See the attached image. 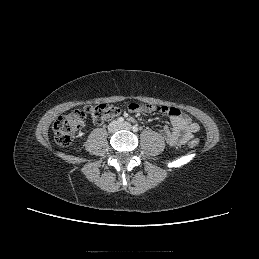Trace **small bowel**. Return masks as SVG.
Returning <instances> with one entry per match:
<instances>
[{
	"label": "small bowel",
	"instance_id": "1",
	"mask_svg": "<svg viewBox=\"0 0 259 259\" xmlns=\"http://www.w3.org/2000/svg\"><path fill=\"white\" fill-rule=\"evenodd\" d=\"M130 112L139 113H164L169 116L171 128L165 127L161 134L168 144L180 146L200 131L198 123L194 122L188 115L182 113L178 108L143 103L130 102L127 105Z\"/></svg>",
	"mask_w": 259,
	"mask_h": 259
}]
</instances>
